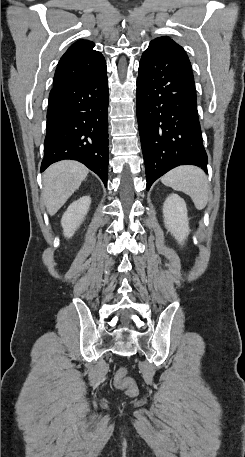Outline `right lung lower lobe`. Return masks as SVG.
Here are the masks:
<instances>
[{"label": "right lung lower lobe", "mask_w": 245, "mask_h": 457, "mask_svg": "<svg viewBox=\"0 0 245 457\" xmlns=\"http://www.w3.org/2000/svg\"><path fill=\"white\" fill-rule=\"evenodd\" d=\"M108 99L106 68L53 86L41 171L60 160H77L107 186Z\"/></svg>", "instance_id": "right-lung-lower-lobe-1"}]
</instances>
